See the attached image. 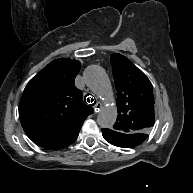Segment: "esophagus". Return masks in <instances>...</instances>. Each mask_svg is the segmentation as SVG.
<instances>
[{"label":"esophagus","instance_id":"esophagus-1","mask_svg":"<svg viewBox=\"0 0 193 193\" xmlns=\"http://www.w3.org/2000/svg\"><path fill=\"white\" fill-rule=\"evenodd\" d=\"M101 108H102V103L97 102L96 107L94 108V112L95 113L100 112Z\"/></svg>","mask_w":193,"mask_h":193}]
</instances>
